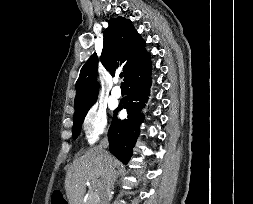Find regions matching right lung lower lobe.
Wrapping results in <instances>:
<instances>
[{"label":"right lung lower lobe","mask_w":253,"mask_h":204,"mask_svg":"<svg viewBox=\"0 0 253 204\" xmlns=\"http://www.w3.org/2000/svg\"><path fill=\"white\" fill-rule=\"evenodd\" d=\"M151 69L150 54L147 53L125 80L128 96L114 111L108 132L110 152L124 164L132 156V148L139 135V126L143 120L140 109L145 106L150 93ZM123 108L127 109L128 118L121 121L117 118V113Z\"/></svg>","instance_id":"1"}]
</instances>
